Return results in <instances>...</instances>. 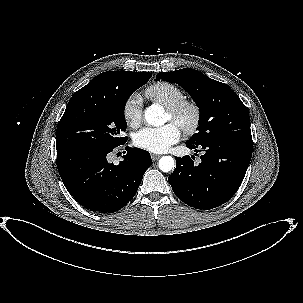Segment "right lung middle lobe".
Wrapping results in <instances>:
<instances>
[{"mask_svg": "<svg viewBox=\"0 0 303 303\" xmlns=\"http://www.w3.org/2000/svg\"><path fill=\"white\" fill-rule=\"evenodd\" d=\"M151 76L142 75L104 90L80 89L73 94L56 131L57 150L70 147H116L127 124L124 107L132 93Z\"/></svg>", "mask_w": 303, "mask_h": 303, "instance_id": "dd1d6c3e", "label": "right lung middle lobe"}]
</instances>
